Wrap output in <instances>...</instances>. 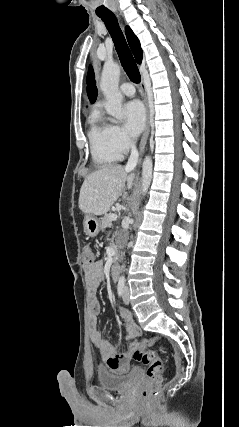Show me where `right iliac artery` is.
<instances>
[{"mask_svg": "<svg viewBox=\"0 0 239 427\" xmlns=\"http://www.w3.org/2000/svg\"><path fill=\"white\" fill-rule=\"evenodd\" d=\"M124 287H125V279L124 277H121L118 281V286H117L118 295L120 297L123 295Z\"/></svg>", "mask_w": 239, "mask_h": 427, "instance_id": "82829eb1", "label": "right iliac artery"}]
</instances>
